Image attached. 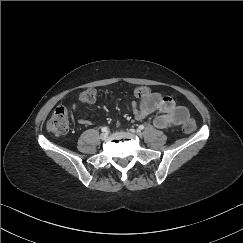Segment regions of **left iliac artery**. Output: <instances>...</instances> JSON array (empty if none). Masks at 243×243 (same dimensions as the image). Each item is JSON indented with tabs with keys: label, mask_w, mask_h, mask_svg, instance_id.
I'll return each mask as SVG.
<instances>
[{
	"label": "left iliac artery",
	"mask_w": 243,
	"mask_h": 243,
	"mask_svg": "<svg viewBox=\"0 0 243 243\" xmlns=\"http://www.w3.org/2000/svg\"><path fill=\"white\" fill-rule=\"evenodd\" d=\"M138 128H139V130H143L144 129V125H140Z\"/></svg>",
	"instance_id": "1"
}]
</instances>
